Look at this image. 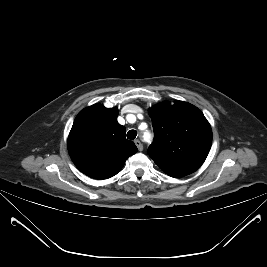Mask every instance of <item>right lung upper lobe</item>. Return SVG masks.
Returning <instances> with one entry per match:
<instances>
[{"label": "right lung upper lobe", "instance_id": "cb5924a9", "mask_svg": "<svg viewBox=\"0 0 267 267\" xmlns=\"http://www.w3.org/2000/svg\"><path fill=\"white\" fill-rule=\"evenodd\" d=\"M118 109L94 104L76 117L68 137L69 155L76 167L94 179L116 175L129 156L137 152L125 138L126 129L117 121Z\"/></svg>", "mask_w": 267, "mask_h": 267}]
</instances>
